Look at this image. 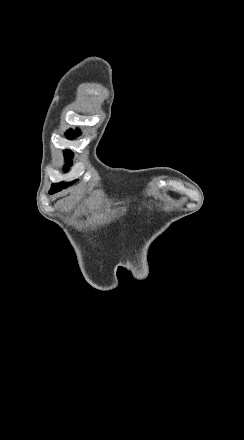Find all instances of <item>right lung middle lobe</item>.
<instances>
[{"mask_svg": "<svg viewBox=\"0 0 244 440\" xmlns=\"http://www.w3.org/2000/svg\"><path fill=\"white\" fill-rule=\"evenodd\" d=\"M66 135H67V138H68V139H72V138L74 137V135H76V136L80 135V131L77 130L76 133H74L73 131H68ZM64 154H65V156H66V162L69 163L70 160L72 159V155H73L72 152H71L70 150H66V151L64 152ZM69 165H70V163H69ZM66 168H68V166H66ZM74 182H76V180L73 181V182H70V183H58V184H53L52 186H54V187H58V188H66V187H68L69 185H72Z\"/></svg>", "mask_w": 244, "mask_h": 440, "instance_id": "right-lung-middle-lobe-1", "label": "right lung middle lobe"}]
</instances>
